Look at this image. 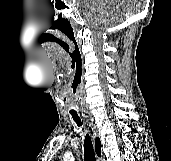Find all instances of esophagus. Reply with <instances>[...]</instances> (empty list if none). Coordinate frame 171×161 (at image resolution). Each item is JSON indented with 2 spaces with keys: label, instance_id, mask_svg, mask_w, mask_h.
Here are the masks:
<instances>
[{
  "label": "esophagus",
  "instance_id": "obj_1",
  "mask_svg": "<svg viewBox=\"0 0 171 161\" xmlns=\"http://www.w3.org/2000/svg\"><path fill=\"white\" fill-rule=\"evenodd\" d=\"M91 125V124H90ZM96 135V132L94 131V128H93V136H95Z\"/></svg>",
  "mask_w": 171,
  "mask_h": 161
}]
</instances>
